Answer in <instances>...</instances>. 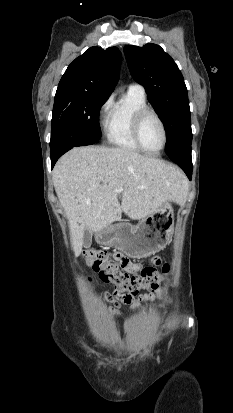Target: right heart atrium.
I'll return each instance as SVG.
<instances>
[{"label": "right heart atrium", "instance_id": "1", "mask_svg": "<svg viewBox=\"0 0 233 413\" xmlns=\"http://www.w3.org/2000/svg\"><path fill=\"white\" fill-rule=\"evenodd\" d=\"M110 104H111V98L110 97H108L107 99H105L102 102V104L100 106V110H99V114H100L101 117L107 112V110L110 107Z\"/></svg>", "mask_w": 233, "mask_h": 413}]
</instances>
